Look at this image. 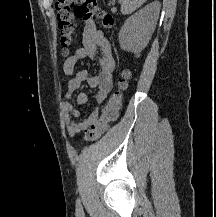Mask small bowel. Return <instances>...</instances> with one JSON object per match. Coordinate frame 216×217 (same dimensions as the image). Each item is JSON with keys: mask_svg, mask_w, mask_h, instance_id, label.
I'll use <instances>...</instances> for the list:
<instances>
[{"mask_svg": "<svg viewBox=\"0 0 216 217\" xmlns=\"http://www.w3.org/2000/svg\"><path fill=\"white\" fill-rule=\"evenodd\" d=\"M81 47L63 62V72L74 77L68 82V90L65 100L61 104L63 111V124L70 137L75 136L89 128L98 116L100 107L112 90L114 82L115 58L110 42L103 32L98 30L92 20L85 23L80 36ZM86 57L96 59L100 65V72L97 75H89L87 70L76 71V65ZM82 82H87L91 88L97 90L95 95V106L90 114L80 119V111L74 106L72 99L74 92L81 86ZM88 96L84 92H79L75 96L76 104H85Z\"/></svg>", "mask_w": 216, "mask_h": 217, "instance_id": "c3829d8e", "label": "small bowel"}]
</instances>
